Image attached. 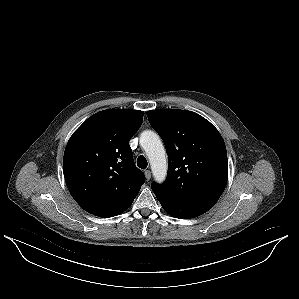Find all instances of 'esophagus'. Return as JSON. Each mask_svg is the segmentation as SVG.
<instances>
[{
    "label": "esophagus",
    "mask_w": 299,
    "mask_h": 299,
    "mask_svg": "<svg viewBox=\"0 0 299 299\" xmlns=\"http://www.w3.org/2000/svg\"><path fill=\"white\" fill-rule=\"evenodd\" d=\"M144 175L146 177V180L149 181L150 178H151V172H150V170H145L144 171Z\"/></svg>",
    "instance_id": "obj_1"
}]
</instances>
